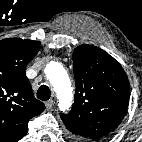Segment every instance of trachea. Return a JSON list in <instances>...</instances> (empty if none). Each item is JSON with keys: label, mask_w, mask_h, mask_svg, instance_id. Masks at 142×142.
Here are the masks:
<instances>
[{"label": "trachea", "mask_w": 142, "mask_h": 142, "mask_svg": "<svg viewBox=\"0 0 142 142\" xmlns=\"http://www.w3.org/2000/svg\"><path fill=\"white\" fill-rule=\"evenodd\" d=\"M50 96H51V91L49 87L46 85H41L37 91L38 99L42 101H47L49 100Z\"/></svg>", "instance_id": "obj_1"}]
</instances>
